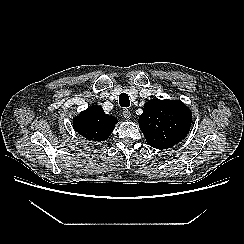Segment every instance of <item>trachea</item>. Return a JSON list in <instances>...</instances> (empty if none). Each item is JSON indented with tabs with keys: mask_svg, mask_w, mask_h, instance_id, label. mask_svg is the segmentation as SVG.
Here are the masks:
<instances>
[{
	"mask_svg": "<svg viewBox=\"0 0 244 244\" xmlns=\"http://www.w3.org/2000/svg\"><path fill=\"white\" fill-rule=\"evenodd\" d=\"M119 104L121 107H129L130 106L129 96L126 93H121L119 95Z\"/></svg>",
	"mask_w": 244,
	"mask_h": 244,
	"instance_id": "trachea-1",
	"label": "trachea"
}]
</instances>
